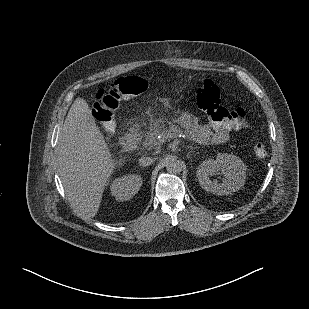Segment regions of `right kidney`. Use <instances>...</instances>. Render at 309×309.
Wrapping results in <instances>:
<instances>
[{"label":"right kidney","instance_id":"1","mask_svg":"<svg viewBox=\"0 0 309 309\" xmlns=\"http://www.w3.org/2000/svg\"><path fill=\"white\" fill-rule=\"evenodd\" d=\"M143 179L137 174L119 176L110 184V193L119 201L132 198L142 186Z\"/></svg>","mask_w":309,"mask_h":309}]
</instances>
